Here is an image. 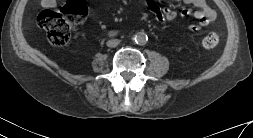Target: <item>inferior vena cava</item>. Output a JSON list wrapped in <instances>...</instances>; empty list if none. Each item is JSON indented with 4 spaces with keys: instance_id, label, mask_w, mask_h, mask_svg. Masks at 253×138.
Instances as JSON below:
<instances>
[{
    "instance_id": "602c4592",
    "label": "inferior vena cava",
    "mask_w": 253,
    "mask_h": 138,
    "mask_svg": "<svg viewBox=\"0 0 253 138\" xmlns=\"http://www.w3.org/2000/svg\"><path fill=\"white\" fill-rule=\"evenodd\" d=\"M120 43L119 39H110L107 41L108 47H116Z\"/></svg>"
}]
</instances>
